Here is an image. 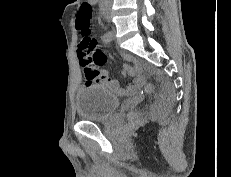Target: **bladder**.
<instances>
[{
    "mask_svg": "<svg viewBox=\"0 0 231 177\" xmlns=\"http://www.w3.org/2000/svg\"><path fill=\"white\" fill-rule=\"evenodd\" d=\"M77 114L83 120L107 119L119 106L118 97L99 85L80 88L75 96Z\"/></svg>",
    "mask_w": 231,
    "mask_h": 177,
    "instance_id": "bladder-1",
    "label": "bladder"
}]
</instances>
